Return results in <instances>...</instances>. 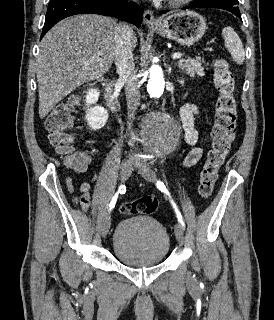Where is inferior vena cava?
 Listing matches in <instances>:
<instances>
[{
    "instance_id": "1",
    "label": "inferior vena cava",
    "mask_w": 274,
    "mask_h": 320,
    "mask_svg": "<svg viewBox=\"0 0 274 320\" xmlns=\"http://www.w3.org/2000/svg\"><path fill=\"white\" fill-rule=\"evenodd\" d=\"M113 34L116 72L124 84L127 118L131 122V120H134L138 106H140V86L133 60L136 36H134V30L130 26H126V24H117L113 28Z\"/></svg>"
}]
</instances>
